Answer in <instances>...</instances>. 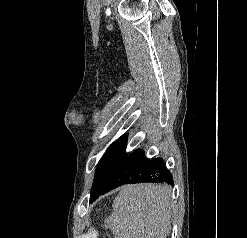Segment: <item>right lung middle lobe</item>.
Listing matches in <instances>:
<instances>
[{
  "mask_svg": "<svg viewBox=\"0 0 247 238\" xmlns=\"http://www.w3.org/2000/svg\"><path fill=\"white\" fill-rule=\"evenodd\" d=\"M126 135L120 137L108 149L96 169L90 200L100 195L110 181L113 172L126 155Z\"/></svg>",
  "mask_w": 247,
  "mask_h": 238,
  "instance_id": "obj_1",
  "label": "right lung middle lobe"
}]
</instances>
